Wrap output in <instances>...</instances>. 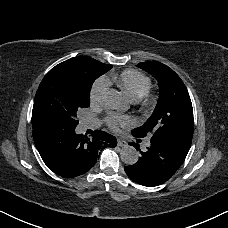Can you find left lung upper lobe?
I'll return each instance as SVG.
<instances>
[{
    "label": "left lung upper lobe",
    "mask_w": 228,
    "mask_h": 228,
    "mask_svg": "<svg viewBox=\"0 0 228 228\" xmlns=\"http://www.w3.org/2000/svg\"><path fill=\"white\" fill-rule=\"evenodd\" d=\"M137 66L157 79L160 95L151 117L132 132L141 138L155 134L191 142L193 108L183 81L171 68L157 61L142 62Z\"/></svg>",
    "instance_id": "left-lung-upper-lobe-1"
}]
</instances>
